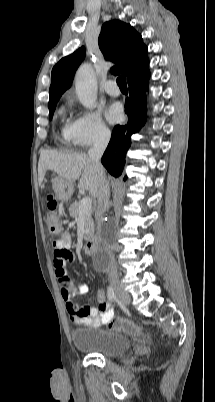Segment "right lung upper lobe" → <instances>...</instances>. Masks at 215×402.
<instances>
[{
  "label": "right lung upper lobe",
  "mask_w": 215,
  "mask_h": 402,
  "mask_svg": "<svg viewBox=\"0 0 215 402\" xmlns=\"http://www.w3.org/2000/svg\"><path fill=\"white\" fill-rule=\"evenodd\" d=\"M99 48L105 58L116 65L114 74H126L128 83L149 74L148 49L134 28L119 20L105 22L98 39ZM85 48L81 47L62 58L52 69L50 100L60 98L71 86L74 74L84 60ZM49 100V101H50Z\"/></svg>",
  "instance_id": "1"
}]
</instances>
